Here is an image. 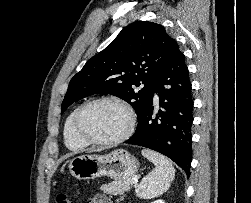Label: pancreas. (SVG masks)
I'll list each match as a JSON object with an SVG mask.
<instances>
[{
    "label": "pancreas",
    "mask_w": 251,
    "mask_h": 203,
    "mask_svg": "<svg viewBox=\"0 0 251 203\" xmlns=\"http://www.w3.org/2000/svg\"><path fill=\"white\" fill-rule=\"evenodd\" d=\"M133 178L119 179L117 181L102 185L100 189L110 195H123L131 189Z\"/></svg>",
    "instance_id": "obj_1"
}]
</instances>
